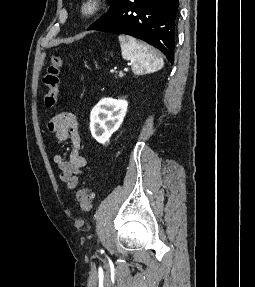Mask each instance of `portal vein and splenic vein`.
Segmentation results:
<instances>
[{"label":"portal vein and splenic vein","mask_w":255,"mask_h":287,"mask_svg":"<svg viewBox=\"0 0 255 287\" xmlns=\"http://www.w3.org/2000/svg\"><path fill=\"white\" fill-rule=\"evenodd\" d=\"M128 66H129V64H128ZM124 72H128L127 68H124Z\"/></svg>","instance_id":"portal-vein-and-splenic-vein-1"}]
</instances>
